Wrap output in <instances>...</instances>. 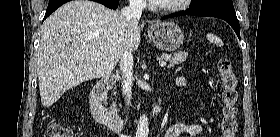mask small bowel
<instances>
[{
    "label": "small bowel",
    "instance_id": "1",
    "mask_svg": "<svg viewBox=\"0 0 280 137\" xmlns=\"http://www.w3.org/2000/svg\"><path fill=\"white\" fill-rule=\"evenodd\" d=\"M178 85L187 86V82L180 78L177 80ZM196 128L184 123H175L168 128L165 137H191Z\"/></svg>",
    "mask_w": 280,
    "mask_h": 137
}]
</instances>
